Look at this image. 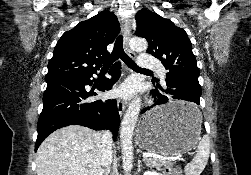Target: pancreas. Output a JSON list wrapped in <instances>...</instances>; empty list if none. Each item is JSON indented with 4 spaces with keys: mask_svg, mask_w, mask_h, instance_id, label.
Segmentation results:
<instances>
[{
    "mask_svg": "<svg viewBox=\"0 0 251 175\" xmlns=\"http://www.w3.org/2000/svg\"><path fill=\"white\" fill-rule=\"evenodd\" d=\"M145 163L148 167H156V169H160L162 165H170L171 161H167V159H159V157H145Z\"/></svg>",
    "mask_w": 251,
    "mask_h": 175,
    "instance_id": "1",
    "label": "pancreas"
}]
</instances>
